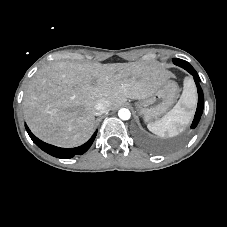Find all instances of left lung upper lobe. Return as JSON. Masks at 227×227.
I'll return each instance as SVG.
<instances>
[{
  "instance_id": "5c2ea615",
  "label": "left lung upper lobe",
  "mask_w": 227,
  "mask_h": 227,
  "mask_svg": "<svg viewBox=\"0 0 227 227\" xmlns=\"http://www.w3.org/2000/svg\"><path fill=\"white\" fill-rule=\"evenodd\" d=\"M176 60H177V58L176 59H173V62L176 61Z\"/></svg>"
}]
</instances>
